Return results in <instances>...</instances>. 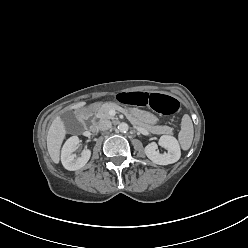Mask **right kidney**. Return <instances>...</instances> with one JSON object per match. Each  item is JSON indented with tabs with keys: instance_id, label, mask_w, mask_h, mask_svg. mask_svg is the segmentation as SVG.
I'll list each match as a JSON object with an SVG mask.
<instances>
[{
	"instance_id": "right-kidney-1",
	"label": "right kidney",
	"mask_w": 248,
	"mask_h": 248,
	"mask_svg": "<svg viewBox=\"0 0 248 248\" xmlns=\"http://www.w3.org/2000/svg\"><path fill=\"white\" fill-rule=\"evenodd\" d=\"M77 136L70 137L64 144L61 152V162L65 169L69 171L78 170L86 165L91 157V151L85 149L80 157H76L73 152L77 149L79 144Z\"/></svg>"
}]
</instances>
